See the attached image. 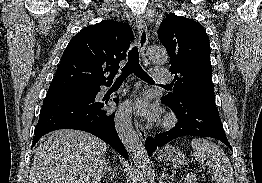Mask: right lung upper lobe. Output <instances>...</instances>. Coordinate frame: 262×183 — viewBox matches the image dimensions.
<instances>
[{
	"mask_svg": "<svg viewBox=\"0 0 262 183\" xmlns=\"http://www.w3.org/2000/svg\"><path fill=\"white\" fill-rule=\"evenodd\" d=\"M132 39L131 28L122 22L105 20L84 28L67 45L49 90L112 83Z\"/></svg>",
	"mask_w": 262,
	"mask_h": 183,
	"instance_id": "cb5924a9",
	"label": "right lung upper lobe"
}]
</instances>
